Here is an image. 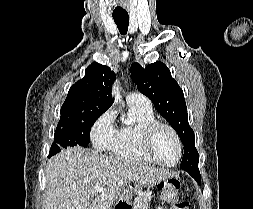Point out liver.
I'll list each match as a JSON object with an SVG mask.
<instances>
[{"mask_svg":"<svg viewBox=\"0 0 253 209\" xmlns=\"http://www.w3.org/2000/svg\"><path fill=\"white\" fill-rule=\"evenodd\" d=\"M168 170L110 158L80 146L63 149L45 171L44 209H111L121 190L157 184L172 177ZM96 185L103 192H93Z\"/></svg>","mask_w":253,"mask_h":209,"instance_id":"liver-1","label":"liver"}]
</instances>
